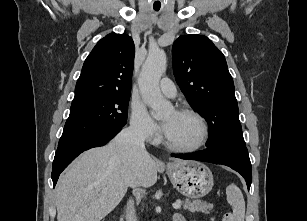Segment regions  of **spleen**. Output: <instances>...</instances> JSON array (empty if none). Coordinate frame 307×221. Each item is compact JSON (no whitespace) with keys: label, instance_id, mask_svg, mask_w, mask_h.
I'll return each instance as SVG.
<instances>
[{"label":"spleen","instance_id":"1","mask_svg":"<svg viewBox=\"0 0 307 221\" xmlns=\"http://www.w3.org/2000/svg\"><path fill=\"white\" fill-rule=\"evenodd\" d=\"M226 195L228 203L232 206L235 220L244 221L245 201L241 190L235 184H230L226 188Z\"/></svg>","mask_w":307,"mask_h":221}]
</instances>
